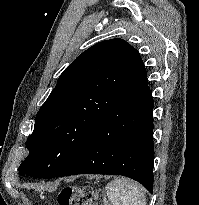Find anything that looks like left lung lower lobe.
I'll return each instance as SVG.
<instances>
[{"mask_svg": "<svg viewBox=\"0 0 199 205\" xmlns=\"http://www.w3.org/2000/svg\"><path fill=\"white\" fill-rule=\"evenodd\" d=\"M153 107L143 62L130 90L99 122L76 159L57 177L123 175L153 192Z\"/></svg>", "mask_w": 199, "mask_h": 205, "instance_id": "left-lung-lower-lobe-1", "label": "left lung lower lobe"}]
</instances>
